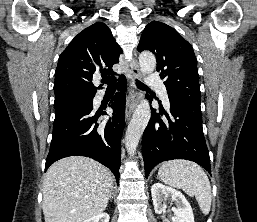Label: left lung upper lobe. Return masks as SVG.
Wrapping results in <instances>:
<instances>
[{
	"mask_svg": "<svg viewBox=\"0 0 257 222\" xmlns=\"http://www.w3.org/2000/svg\"><path fill=\"white\" fill-rule=\"evenodd\" d=\"M138 50H149L156 55V70L168 94L200 103L197 59L192 46L175 29L152 21L142 33Z\"/></svg>",
	"mask_w": 257,
	"mask_h": 222,
	"instance_id": "left-lung-upper-lobe-1",
	"label": "left lung upper lobe"
}]
</instances>
